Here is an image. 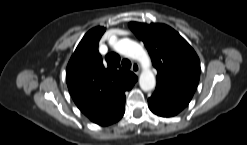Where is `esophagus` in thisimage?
Returning a JSON list of instances; mask_svg holds the SVG:
<instances>
[{
  "label": "esophagus",
  "mask_w": 247,
  "mask_h": 145,
  "mask_svg": "<svg viewBox=\"0 0 247 145\" xmlns=\"http://www.w3.org/2000/svg\"><path fill=\"white\" fill-rule=\"evenodd\" d=\"M131 70L135 73V74H139L140 73V66L138 63L134 62L132 64Z\"/></svg>",
  "instance_id": "1"
}]
</instances>
